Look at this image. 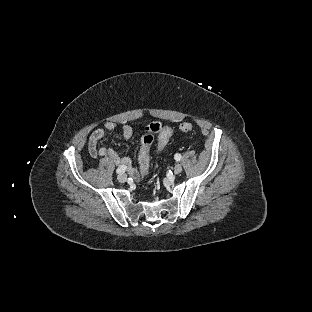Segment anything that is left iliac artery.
Returning <instances> with one entry per match:
<instances>
[{"mask_svg":"<svg viewBox=\"0 0 312 312\" xmlns=\"http://www.w3.org/2000/svg\"><path fill=\"white\" fill-rule=\"evenodd\" d=\"M175 160L180 161L181 160V154H175L174 156Z\"/></svg>","mask_w":312,"mask_h":312,"instance_id":"left-iliac-artery-1","label":"left iliac artery"}]
</instances>
